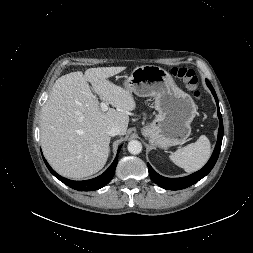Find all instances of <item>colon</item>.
<instances>
[{"label": "colon", "instance_id": "obj_1", "mask_svg": "<svg viewBox=\"0 0 253 253\" xmlns=\"http://www.w3.org/2000/svg\"><path fill=\"white\" fill-rule=\"evenodd\" d=\"M171 74L184 83L195 99H200L201 92L198 89V78L192 69L174 67L171 69Z\"/></svg>", "mask_w": 253, "mask_h": 253}]
</instances>
